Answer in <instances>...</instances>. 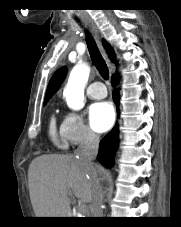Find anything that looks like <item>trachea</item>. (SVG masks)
Masks as SVG:
<instances>
[{"instance_id": "trachea-1", "label": "trachea", "mask_w": 181, "mask_h": 227, "mask_svg": "<svg viewBox=\"0 0 181 227\" xmlns=\"http://www.w3.org/2000/svg\"><path fill=\"white\" fill-rule=\"evenodd\" d=\"M86 43H87L90 57L95 65L96 69L99 71V73L101 74V76L104 79H108L109 70H108L107 64H106L105 60L103 59V57L96 45L95 40L93 39V37L90 35V33L88 31H86Z\"/></svg>"}]
</instances>
